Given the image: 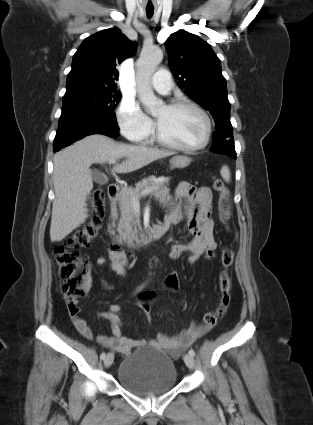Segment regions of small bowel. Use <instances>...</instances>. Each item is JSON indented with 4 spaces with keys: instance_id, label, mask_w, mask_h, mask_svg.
<instances>
[{
    "instance_id": "obj_1",
    "label": "small bowel",
    "mask_w": 313,
    "mask_h": 425,
    "mask_svg": "<svg viewBox=\"0 0 313 425\" xmlns=\"http://www.w3.org/2000/svg\"><path fill=\"white\" fill-rule=\"evenodd\" d=\"M182 199L185 200V205L182 204ZM211 202L212 192L208 187L196 188L187 182L178 184L171 212L166 216L162 225L168 229L173 224L186 221L193 238L188 243L173 244L169 251L171 259L177 260L187 252L189 253L188 262L194 264L209 248H215L214 224L210 217ZM96 263L99 266H107L118 275L124 276L126 274L127 259L121 251L111 249L108 256L98 257ZM89 288L90 283L88 281L86 290L88 291ZM67 307L71 321L77 331L83 337L92 339L93 331L89 324L79 316L78 305L71 308L67 304ZM120 315L121 311L118 305H112L107 312L101 314L102 318L111 323L112 334L99 335L96 340L100 345L122 354H129L134 347L149 344L166 348L170 350L172 355L178 356L181 350L190 346L198 337L204 335L210 329L205 324H196L174 337L159 334L155 339L134 340L123 335Z\"/></svg>"
}]
</instances>
